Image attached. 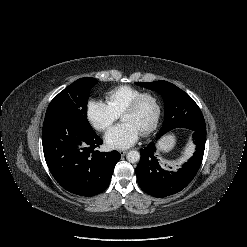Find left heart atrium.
<instances>
[{"label":"left heart atrium","mask_w":247,"mask_h":247,"mask_svg":"<svg viewBox=\"0 0 247 247\" xmlns=\"http://www.w3.org/2000/svg\"><path fill=\"white\" fill-rule=\"evenodd\" d=\"M140 131L129 122H123L111 128L105 135V142L113 149H126L139 138Z\"/></svg>","instance_id":"39dd6f15"}]
</instances>
